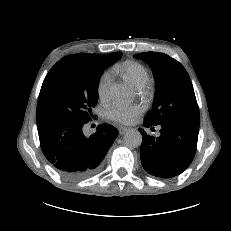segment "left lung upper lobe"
<instances>
[{
  "label": "left lung upper lobe",
  "mask_w": 231,
  "mask_h": 231,
  "mask_svg": "<svg viewBox=\"0 0 231 231\" xmlns=\"http://www.w3.org/2000/svg\"><path fill=\"white\" fill-rule=\"evenodd\" d=\"M134 57L149 64L156 81L153 108L145 121L155 126L185 121L200 123L193 85L185 68L164 53L144 52Z\"/></svg>",
  "instance_id": "left-lung-upper-lobe-1"
}]
</instances>
